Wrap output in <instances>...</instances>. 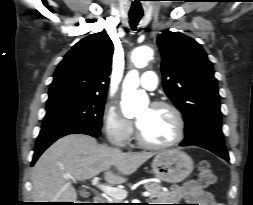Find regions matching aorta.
Masks as SVG:
<instances>
[{"label": "aorta", "instance_id": "1", "mask_svg": "<svg viewBox=\"0 0 253 205\" xmlns=\"http://www.w3.org/2000/svg\"><path fill=\"white\" fill-rule=\"evenodd\" d=\"M153 56V50L148 46H140L132 52V62L137 68H143ZM139 78L137 71L129 72L123 82L122 112L127 118L135 116L148 105V96L143 90H137Z\"/></svg>", "mask_w": 253, "mask_h": 205}]
</instances>
